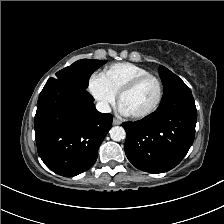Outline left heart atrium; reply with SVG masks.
<instances>
[{
  "mask_svg": "<svg viewBox=\"0 0 224 224\" xmlns=\"http://www.w3.org/2000/svg\"><path fill=\"white\" fill-rule=\"evenodd\" d=\"M119 111H120V113L123 114V115H130V114L128 113V111L124 108V106L121 105L120 103H119Z\"/></svg>",
  "mask_w": 224,
  "mask_h": 224,
  "instance_id": "39dd6f15",
  "label": "left heart atrium"
}]
</instances>
